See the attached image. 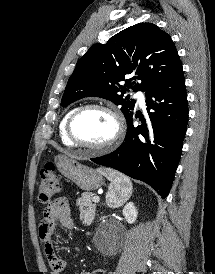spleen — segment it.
Returning <instances> with one entry per match:
<instances>
[{"label":"spleen","mask_w":215,"mask_h":274,"mask_svg":"<svg viewBox=\"0 0 215 274\" xmlns=\"http://www.w3.org/2000/svg\"><path fill=\"white\" fill-rule=\"evenodd\" d=\"M98 171L110 180L108 192L106 193V202L109 207H118L122 204L125 197L132 193V182L130 179L115 170L100 168Z\"/></svg>","instance_id":"obj_1"}]
</instances>
